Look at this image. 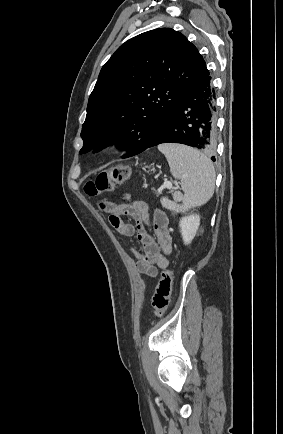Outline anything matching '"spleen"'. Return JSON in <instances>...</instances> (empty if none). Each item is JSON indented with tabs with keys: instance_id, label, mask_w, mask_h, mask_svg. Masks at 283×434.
I'll use <instances>...</instances> for the list:
<instances>
[{
	"instance_id": "3e777b00",
	"label": "spleen",
	"mask_w": 283,
	"mask_h": 434,
	"mask_svg": "<svg viewBox=\"0 0 283 434\" xmlns=\"http://www.w3.org/2000/svg\"><path fill=\"white\" fill-rule=\"evenodd\" d=\"M158 149L165 155L173 177L181 180L184 192L181 205L163 198L162 206L179 213L207 203L215 188V169L211 161L185 145L161 144Z\"/></svg>"
}]
</instances>
